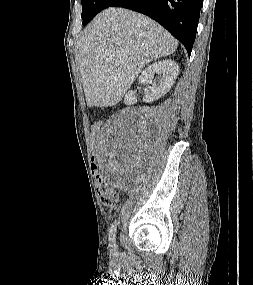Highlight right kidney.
<instances>
[{"label": "right kidney", "mask_w": 253, "mask_h": 285, "mask_svg": "<svg viewBox=\"0 0 253 285\" xmlns=\"http://www.w3.org/2000/svg\"><path fill=\"white\" fill-rule=\"evenodd\" d=\"M156 73H163V76L160 78V81L157 84H153L148 88L143 98L145 103H151L158 100L170 90L179 73V66L171 59L156 61L141 73L139 82L143 83L148 79H152ZM136 102L137 99L134 92L129 91L125 95V103L131 105L135 104Z\"/></svg>", "instance_id": "obj_1"}]
</instances>
